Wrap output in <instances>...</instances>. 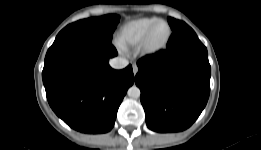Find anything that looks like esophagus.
Masks as SVG:
<instances>
[{
  "instance_id": "obj_1",
  "label": "esophagus",
  "mask_w": 261,
  "mask_h": 150,
  "mask_svg": "<svg viewBox=\"0 0 261 150\" xmlns=\"http://www.w3.org/2000/svg\"><path fill=\"white\" fill-rule=\"evenodd\" d=\"M132 68H133V74L136 75L138 73V66L136 64H133Z\"/></svg>"
}]
</instances>
